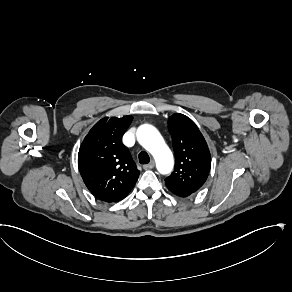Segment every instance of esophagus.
Here are the masks:
<instances>
[{
  "label": "esophagus",
  "mask_w": 292,
  "mask_h": 292,
  "mask_svg": "<svg viewBox=\"0 0 292 292\" xmlns=\"http://www.w3.org/2000/svg\"><path fill=\"white\" fill-rule=\"evenodd\" d=\"M155 166V162L152 160L149 164L143 166L145 170L152 169Z\"/></svg>",
  "instance_id": "obj_1"
}]
</instances>
